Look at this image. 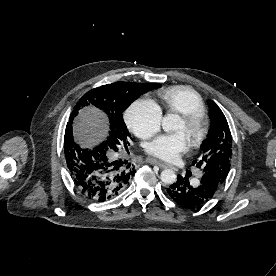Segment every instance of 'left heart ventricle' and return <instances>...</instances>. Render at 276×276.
<instances>
[{
	"label": "left heart ventricle",
	"mask_w": 276,
	"mask_h": 276,
	"mask_svg": "<svg viewBox=\"0 0 276 276\" xmlns=\"http://www.w3.org/2000/svg\"><path fill=\"white\" fill-rule=\"evenodd\" d=\"M175 133H182L186 139L188 140V143L192 139V131L185 125L182 119L179 120L178 125L174 129Z\"/></svg>",
	"instance_id": "obj_1"
}]
</instances>
